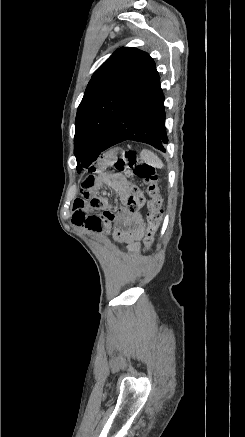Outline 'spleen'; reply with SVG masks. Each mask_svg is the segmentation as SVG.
I'll use <instances>...</instances> for the list:
<instances>
[{"mask_svg":"<svg viewBox=\"0 0 245 437\" xmlns=\"http://www.w3.org/2000/svg\"><path fill=\"white\" fill-rule=\"evenodd\" d=\"M140 157L142 160H144L148 165L152 167L163 168L164 166L161 159L150 150H146V149L142 150L140 153Z\"/></svg>","mask_w":245,"mask_h":437,"instance_id":"obj_1","label":"spleen"}]
</instances>
